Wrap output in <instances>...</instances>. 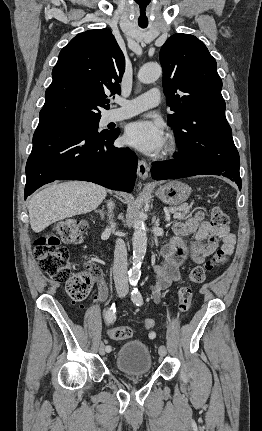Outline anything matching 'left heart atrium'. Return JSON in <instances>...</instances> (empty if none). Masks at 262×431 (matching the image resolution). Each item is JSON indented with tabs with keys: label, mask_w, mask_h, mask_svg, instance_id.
Masks as SVG:
<instances>
[{
	"label": "left heart atrium",
	"mask_w": 262,
	"mask_h": 431,
	"mask_svg": "<svg viewBox=\"0 0 262 431\" xmlns=\"http://www.w3.org/2000/svg\"><path fill=\"white\" fill-rule=\"evenodd\" d=\"M124 142L144 154L155 155L165 147L166 134L159 123L141 119L127 126Z\"/></svg>",
	"instance_id": "39dd6f15"
}]
</instances>
